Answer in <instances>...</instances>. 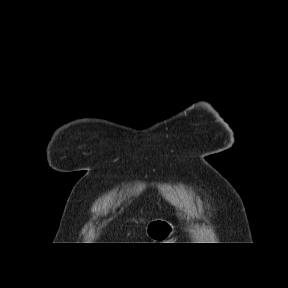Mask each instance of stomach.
<instances>
[{"instance_id":"obj_1","label":"stomach","mask_w":288,"mask_h":288,"mask_svg":"<svg viewBox=\"0 0 288 288\" xmlns=\"http://www.w3.org/2000/svg\"><path fill=\"white\" fill-rule=\"evenodd\" d=\"M174 231L173 225L165 220L156 219L150 221L146 226V235L152 241H157L154 243H164Z\"/></svg>"}]
</instances>
